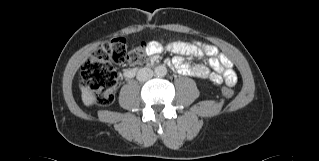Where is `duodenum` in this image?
I'll list each match as a JSON object with an SVG mask.
<instances>
[{"instance_id": "obj_1", "label": "duodenum", "mask_w": 319, "mask_h": 161, "mask_svg": "<svg viewBox=\"0 0 319 161\" xmlns=\"http://www.w3.org/2000/svg\"><path fill=\"white\" fill-rule=\"evenodd\" d=\"M150 63H146L144 67H150ZM143 67H137V68H127L123 71V75L125 78H131L134 75H136L139 71H141Z\"/></svg>"}]
</instances>
